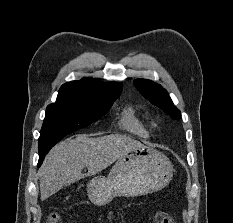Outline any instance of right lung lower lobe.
<instances>
[{
    "instance_id": "98d812e1",
    "label": "right lung lower lobe",
    "mask_w": 233,
    "mask_h": 223,
    "mask_svg": "<svg viewBox=\"0 0 233 223\" xmlns=\"http://www.w3.org/2000/svg\"><path fill=\"white\" fill-rule=\"evenodd\" d=\"M50 149H51V148H50ZM50 149H47V150H45L44 152L39 153V162H38V166L41 165V163H42V161H43L45 155L48 153V151H49Z\"/></svg>"
}]
</instances>
